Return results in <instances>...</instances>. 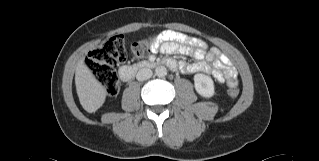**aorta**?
Instances as JSON below:
<instances>
[{"mask_svg": "<svg viewBox=\"0 0 319 161\" xmlns=\"http://www.w3.org/2000/svg\"><path fill=\"white\" fill-rule=\"evenodd\" d=\"M167 74V69L164 66H158L155 69V75L158 77H164Z\"/></svg>", "mask_w": 319, "mask_h": 161, "instance_id": "1", "label": "aorta"}]
</instances>
